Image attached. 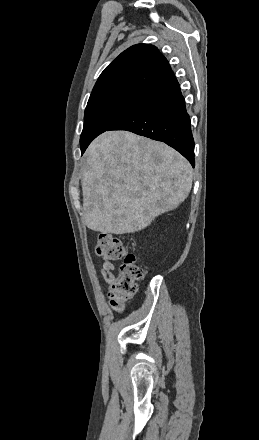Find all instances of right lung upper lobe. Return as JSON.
I'll use <instances>...</instances> for the list:
<instances>
[{"mask_svg": "<svg viewBox=\"0 0 259 440\" xmlns=\"http://www.w3.org/2000/svg\"><path fill=\"white\" fill-rule=\"evenodd\" d=\"M170 71L167 59L155 46H131L101 73L89 100L121 90L148 91Z\"/></svg>", "mask_w": 259, "mask_h": 440, "instance_id": "1", "label": "right lung upper lobe"}]
</instances>
